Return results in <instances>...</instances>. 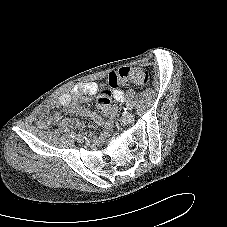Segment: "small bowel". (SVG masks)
<instances>
[{
    "mask_svg": "<svg viewBox=\"0 0 227 227\" xmlns=\"http://www.w3.org/2000/svg\"><path fill=\"white\" fill-rule=\"evenodd\" d=\"M104 84H98L96 82H80L75 84L69 92L62 93L58 96L57 100L53 103H49L45 106L42 116L39 119L40 128H47L48 126L62 121L67 125L74 126L76 128H83V124L79 121L65 118L62 119L59 113H50L56 105L66 108L70 113L86 116L91 118L96 124L109 128L112 125L113 119L116 114V107L111 106L103 115L87 109L78 103L79 100L87 101L88 97L96 94L100 87ZM114 99L120 104L124 103V91L122 89L115 90L113 92Z\"/></svg>",
    "mask_w": 227,
    "mask_h": 227,
    "instance_id": "c3829d8e",
    "label": "small bowel"
}]
</instances>
